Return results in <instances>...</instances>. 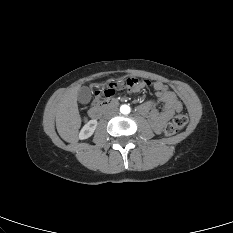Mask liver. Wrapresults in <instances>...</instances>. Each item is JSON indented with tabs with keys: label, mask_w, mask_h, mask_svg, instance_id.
<instances>
[{
	"label": "liver",
	"mask_w": 233,
	"mask_h": 233,
	"mask_svg": "<svg viewBox=\"0 0 233 233\" xmlns=\"http://www.w3.org/2000/svg\"><path fill=\"white\" fill-rule=\"evenodd\" d=\"M79 87L69 89L61 98L56 109V128L60 137L73 142L81 126V117L78 110L77 94Z\"/></svg>",
	"instance_id": "obj_1"
}]
</instances>
